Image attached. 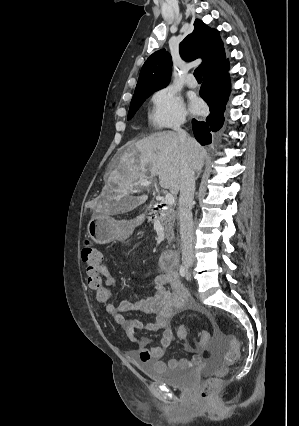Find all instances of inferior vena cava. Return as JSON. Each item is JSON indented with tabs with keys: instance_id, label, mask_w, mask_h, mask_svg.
Instances as JSON below:
<instances>
[{
	"instance_id": "1",
	"label": "inferior vena cava",
	"mask_w": 299,
	"mask_h": 426,
	"mask_svg": "<svg viewBox=\"0 0 299 426\" xmlns=\"http://www.w3.org/2000/svg\"><path fill=\"white\" fill-rule=\"evenodd\" d=\"M180 122L176 127V131L181 143L184 145L187 140V133L181 129ZM181 170V183L179 195V208L178 218L180 224V237L182 247V261L186 266H190L194 260L193 252V220H192V206L195 191V177L194 171L188 163L187 159L183 157L180 164Z\"/></svg>"
}]
</instances>
